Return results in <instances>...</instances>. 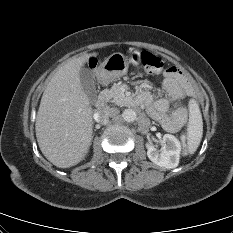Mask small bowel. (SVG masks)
<instances>
[{"label":"small bowel","instance_id":"1","mask_svg":"<svg viewBox=\"0 0 233 233\" xmlns=\"http://www.w3.org/2000/svg\"><path fill=\"white\" fill-rule=\"evenodd\" d=\"M162 88L174 99L194 96V88L188 75L176 66H171L165 71ZM139 100L146 105L150 116L166 130L176 131L184 125L187 117L184 107L178 108L169 115L167 114L168 101L166 98L154 100L148 92L142 91Z\"/></svg>","mask_w":233,"mask_h":233}]
</instances>
